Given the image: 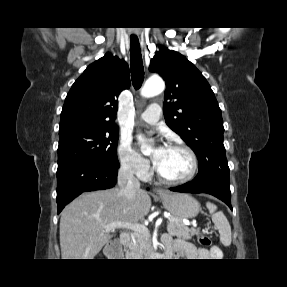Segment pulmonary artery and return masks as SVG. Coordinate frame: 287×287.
Here are the masks:
<instances>
[{"instance_id": "obj_1", "label": "pulmonary artery", "mask_w": 287, "mask_h": 287, "mask_svg": "<svg viewBox=\"0 0 287 287\" xmlns=\"http://www.w3.org/2000/svg\"><path fill=\"white\" fill-rule=\"evenodd\" d=\"M160 107L157 104H150L141 114L140 119L148 124H156L160 118Z\"/></svg>"}]
</instances>
